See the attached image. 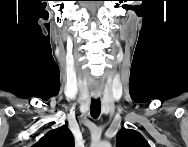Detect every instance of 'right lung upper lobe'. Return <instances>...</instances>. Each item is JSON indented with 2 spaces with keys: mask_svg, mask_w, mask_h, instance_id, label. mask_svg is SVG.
Listing matches in <instances>:
<instances>
[{
  "mask_svg": "<svg viewBox=\"0 0 188 147\" xmlns=\"http://www.w3.org/2000/svg\"><path fill=\"white\" fill-rule=\"evenodd\" d=\"M36 147H73V135L67 126L49 131L42 137Z\"/></svg>",
  "mask_w": 188,
  "mask_h": 147,
  "instance_id": "cb5924a9",
  "label": "right lung upper lobe"
}]
</instances>
